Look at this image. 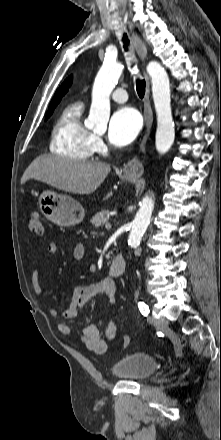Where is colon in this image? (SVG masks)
I'll return each instance as SVG.
<instances>
[{
    "instance_id": "obj_1",
    "label": "colon",
    "mask_w": 221,
    "mask_h": 440,
    "mask_svg": "<svg viewBox=\"0 0 221 440\" xmlns=\"http://www.w3.org/2000/svg\"><path fill=\"white\" fill-rule=\"evenodd\" d=\"M29 230L37 235H42L44 232L42 217L39 212H32L28 219ZM122 344L124 347L129 345V337L124 335L122 338Z\"/></svg>"
}]
</instances>
